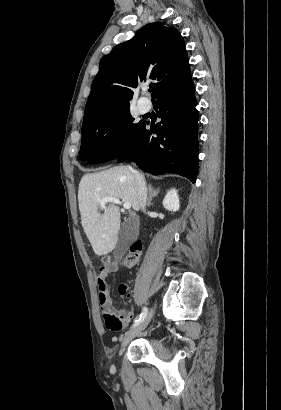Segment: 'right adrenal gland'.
Instances as JSON below:
<instances>
[{"instance_id":"obj_1","label":"right adrenal gland","mask_w":281,"mask_h":410,"mask_svg":"<svg viewBox=\"0 0 281 410\" xmlns=\"http://www.w3.org/2000/svg\"><path fill=\"white\" fill-rule=\"evenodd\" d=\"M159 189H153L152 185H149V198H148V206H151L152 198L159 194Z\"/></svg>"}]
</instances>
